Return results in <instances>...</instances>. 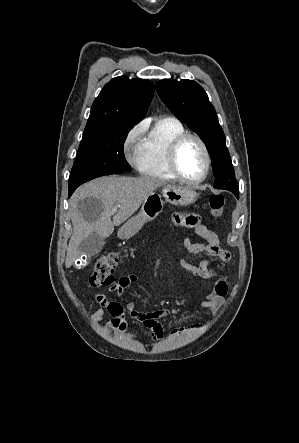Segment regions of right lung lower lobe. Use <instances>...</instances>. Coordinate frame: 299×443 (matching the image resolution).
Returning a JSON list of instances; mask_svg holds the SVG:
<instances>
[{
    "label": "right lung lower lobe",
    "mask_w": 299,
    "mask_h": 443,
    "mask_svg": "<svg viewBox=\"0 0 299 443\" xmlns=\"http://www.w3.org/2000/svg\"><path fill=\"white\" fill-rule=\"evenodd\" d=\"M76 188H77V187L69 188L68 197H70V196L72 195V193L75 191Z\"/></svg>",
    "instance_id": "obj_1"
}]
</instances>
